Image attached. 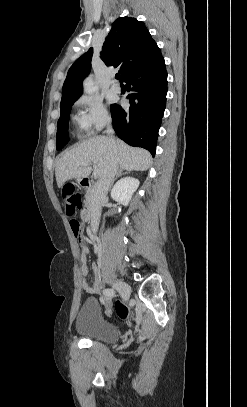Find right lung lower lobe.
I'll return each instance as SVG.
<instances>
[{
    "mask_svg": "<svg viewBox=\"0 0 247 407\" xmlns=\"http://www.w3.org/2000/svg\"><path fill=\"white\" fill-rule=\"evenodd\" d=\"M128 86L130 107L111 106L117 136L127 144L156 152L158 131L166 106L167 71L164 58L142 65L123 80Z\"/></svg>",
    "mask_w": 247,
    "mask_h": 407,
    "instance_id": "1",
    "label": "right lung lower lobe"
}]
</instances>
